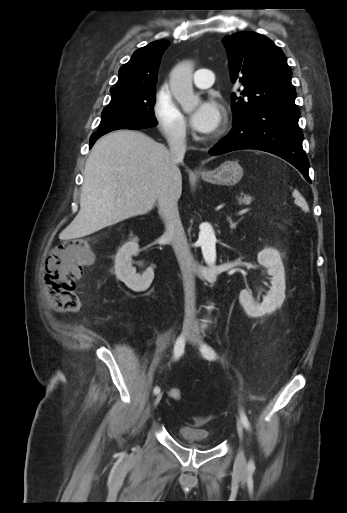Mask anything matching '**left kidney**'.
<instances>
[{"instance_id": "1", "label": "left kidney", "mask_w": 347, "mask_h": 513, "mask_svg": "<svg viewBox=\"0 0 347 513\" xmlns=\"http://www.w3.org/2000/svg\"><path fill=\"white\" fill-rule=\"evenodd\" d=\"M257 260L272 276V286L261 304L253 299L251 291L244 289L240 292V303L250 317L269 315L281 307L285 300V271L280 253L274 248L265 247L258 253Z\"/></svg>"}]
</instances>
